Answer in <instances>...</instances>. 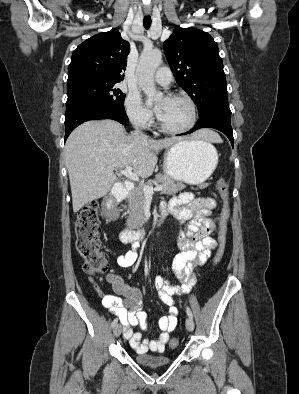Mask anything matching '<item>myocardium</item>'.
Returning a JSON list of instances; mask_svg holds the SVG:
<instances>
[{
	"mask_svg": "<svg viewBox=\"0 0 299 394\" xmlns=\"http://www.w3.org/2000/svg\"><path fill=\"white\" fill-rule=\"evenodd\" d=\"M167 98L171 99V100L185 101L190 106V109H191V121L187 126H185L183 128L173 129V128L167 127L161 121L160 117L158 116L157 121H158L159 128L163 132L168 133V134H183V133L190 131L196 125L197 117H198V112H197V107H196L195 102L189 96L183 95V94H171Z\"/></svg>",
	"mask_w": 299,
	"mask_h": 394,
	"instance_id": "myocardium-1",
	"label": "myocardium"
}]
</instances>
